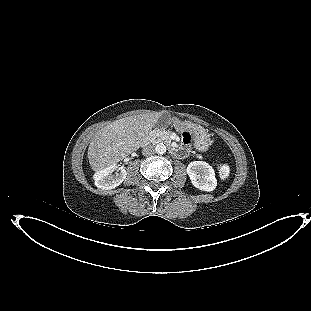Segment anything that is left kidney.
Segmentation results:
<instances>
[{"instance_id":"1","label":"left kidney","mask_w":311,"mask_h":311,"mask_svg":"<svg viewBox=\"0 0 311 311\" xmlns=\"http://www.w3.org/2000/svg\"><path fill=\"white\" fill-rule=\"evenodd\" d=\"M187 174L193 186L199 190L210 192L217 186L214 169L204 161L189 163Z\"/></svg>"}]
</instances>
